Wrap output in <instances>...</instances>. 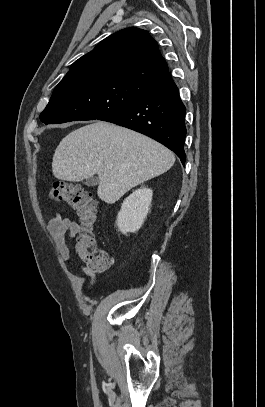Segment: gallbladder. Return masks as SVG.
Instances as JSON below:
<instances>
[{"mask_svg":"<svg viewBox=\"0 0 265 407\" xmlns=\"http://www.w3.org/2000/svg\"><path fill=\"white\" fill-rule=\"evenodd\" d=\"M99 182V179L97 177H90L87 178L84 182L85 185H87L88 187H92V186H96Z\"/></svg>","mask_w":265,"mask_h":407,"instance_id":"1","label":"gallbladder"}]
</instances>
